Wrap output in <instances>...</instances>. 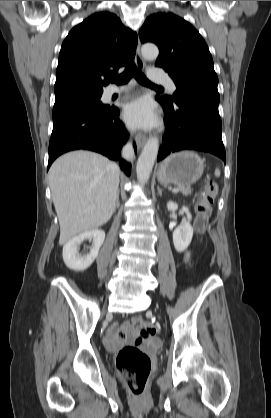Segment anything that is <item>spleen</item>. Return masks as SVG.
Masks as SVG:
<instances>
[{
	"label": "spleen",
	"instance_id": "obj_1",
	"mask_svg": "<svg viewBox=\"0 0 271 418\" xmlns=\"http://www.w3.org/2000/svg\"><path fill=\"white\" fill-rule=\"evenodd\" d=\"M215 175H216L217 177H219V176H220V170H219L218 168L215 170Z\"/></svg>",
	"mask_w": 271,
	"mask_h": 418
}]
</instances>
